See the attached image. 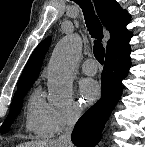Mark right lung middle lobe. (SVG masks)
Segmentation results:
<instances>
[{
  "instance_id": "1",
  "label": "right lung middle lobe",
  "mask_w": 145,
  "mask_h": 147,
  "mask_svg": "<svg viewBox=\"0 0 145 147\" xmlns=\"http://www.w3.org/2000/svg\"><path fill=\"white\" fill-rule=\"evenodd\" d=\"M30 87L31 86L17 89V92L15 93L13 101H12V106H11L9 115L7 116L6 120L4 121L1 127L2 133H6L9 130L11 124L15 120V117L20 113L21 107L23 105L22 98L26 95Z\"/></svg>"
}]
</instances>
